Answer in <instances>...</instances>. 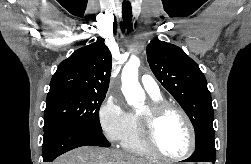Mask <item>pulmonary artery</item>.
Segmentation results:
<instances>
[{
    "mask_svg": "<svg viewBox=\"0 0 251 164\" xmlns=\"http://www.w3.org/2000/svg\"><path fill=\"white\" fill-rule=\"evenodd\" d=\"M141 83L145 91L152 97V98H159L161 97V91L157 84V82L153 79L152 76L148 74H144L141 77Z\"/></svg>",
    "mask_w": 251,
    "mask_h": 164,
    "instance_id": "obj_1",
    "label": "pulmonary artery"
}]
</instances>
